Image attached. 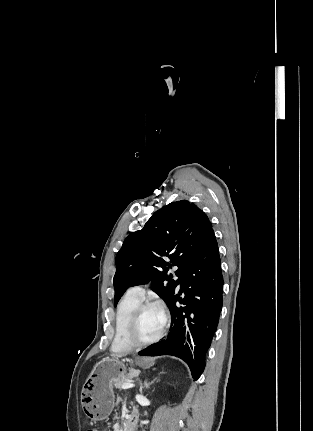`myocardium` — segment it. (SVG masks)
<instances>
[{
	"instance_id": "obj_1",
	"label": "myocardium",
	"mask_w": 313,
	"mask_h": 431,
	"mask_svg": "<svg viewBox=\"0 0 313 431\" xmlns=\"http://www.w3.org/2000/svg\"><path fill=\"white\" fill-rule=\"evenodd\" d=\"M149 307H156V305L148 301L141 302L136 306V308L134 309L131 315L128 328H127V340L133 347L140 348V347L151 345L157 342L164 334L166 322H167V315L165 313H164L163 325L160 331L153 338L148 340H142L138 337L137 332H138L141 315L143 311Z\"/></svg>"
}]
</instances>
